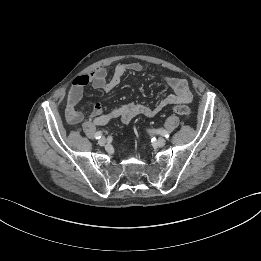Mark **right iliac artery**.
<instances>
[{"label":"right iliac artery","mask_w":261,"mask_h":261,"mask_svg":"<svg viewBox=\"0 0 261 261\" xmlns=\"http://www.w3.org/2000/svg\"><path fill=\"white\" fill-rule=\"evenodd\" d=\"M101 136H102V132L101 131L96 132L95 135H94L95 139H100Z\"/></svg>","instance_id":"82829eb1"}]
</instances>
